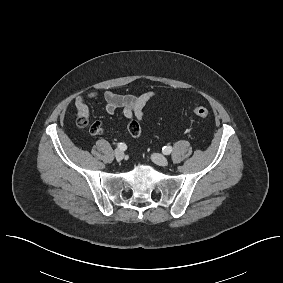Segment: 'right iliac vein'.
I'll return each instance as SVG.
<instances>
[{
    "instance_id": "1",
    "label": "right iliac vein",
    "mask_w": 283,
    "mask_h": 283,
    "mask_svg": "<svg viewBox=\"0 0 283 283\" xmlns=\"http://www.w3.org/2000/svg\"><path fill=\"white\" fill-rule=\"evenodd\" d=\"M114 155H115V158H116L118 161H120V160H122V159L124 158V152H123L122 150H120V149H116V150L114 151Z\"/></svg>"
}]
</instances>
